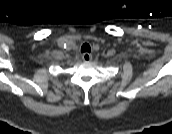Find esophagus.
<instances>
[{
    "label": "esophagus",
    "instance_id": "obj_1",
    "mask_svg": "<svg viewBox=\"0 0 172 134\" xmlns=\"http://www.w3.org/2000/svg\"><path fill=\"white\" fill-rule=\"evenodd\" d=\"M82 59H83V61H85V62H89V61L92 60V55L89 54V53H83Z\"/></svg>",
    "mask_w": 172,
    "mask_h": 134
}]
</instances>
